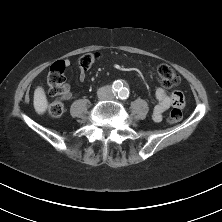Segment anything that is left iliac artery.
Here are the masks:
<instances>
[{"mask_svg": "<svg viewBox=\"0 0 222 222\" xmlns=\"http://www.w3.org/2000/svg\"><path fill=\"white\" fill-rule=\"evenodd\" d=\"M120 98H121V99H125L126 97H125V96H123V95H121V96H120Z\"/></svg>", "mask_w": 222, "mask_h": 222, "instance_id": "1", "label": "left iliac artery"}]
</instances>
